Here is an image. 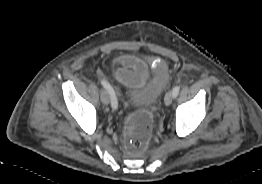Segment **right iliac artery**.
<instances>
[{"instance_id":"82829eb1","label":"right iliac artery","mask_w":262,"mask_h":184,"mask_svg":"<svg viewBox=\"0 0 262 184\" xmlns=\"http://www.w3.org/2000/svg\"><path fill=\"white\" fill-rule=\"evenodd\" d=\"M101 85L108 91V93L110 94L111 97V105L113 109H117L118 106V102H117V98L115 95V92L113 90V88L111 87V85L106 81V80H101Z\"/></svg>"}]
</instances>
